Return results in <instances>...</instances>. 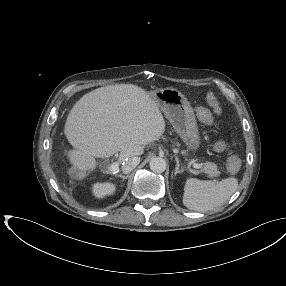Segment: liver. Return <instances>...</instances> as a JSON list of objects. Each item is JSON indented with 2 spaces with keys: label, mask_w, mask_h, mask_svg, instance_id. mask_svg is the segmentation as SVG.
Here are the masks:
<instances>
[{
  "label": "liver",
  "mask_w": 286,
  "mask_h": 286,
  "mask_svg": "<svg viewBox=\"0 0 286 286\" xmlns=\"http://www.w3.org/2000/svg\"><path fill=\"white\" fill-rule=\"evenodd\" d=\"M159 104L151 92L134 84H115L83 95L72 107L64 134L74 149L66 155L84 176L97 167L95 158L120 152L119 163L144 153V145L165 131Z\"/></svg>",
  "instance_id": "6515ba94"
}]
</instances>
